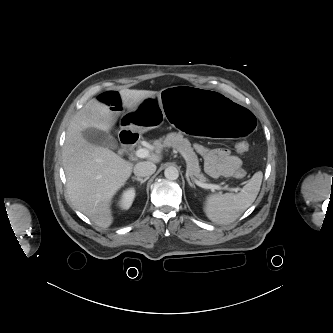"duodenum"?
Wrapping results in <instances>:
<instances>
[{
  "instance_id": "obj_1",
  "label": "duodenum",
  "mask_w": 333,
  "mask_h": 333,
  "mask_svg": "<svg viewBox=\"0 0 333 333\" xmlns=\"http://www.w3.org/2000/svg\"><path fill=\"white\" fill-rule=\"evenodd\" d=\"M122 145L126 150H132L138 143L139 138L135 133L131 131H123L120 134Z\"/></svg>"
}]
</instances>
